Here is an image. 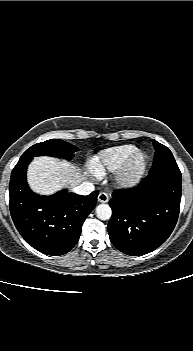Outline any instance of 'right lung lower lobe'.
Masks as SVG:
<instances>
[{
	"label": "right lung lower lobe",
	"instance_id": "obj_1",
	"mask_svg": "<svg viewBox=\"0 0 193 351\" xmlns=\"http://www.w3.org/2000/svg\"><path fill=\"white\" fill-rule=\"evenodd\" d=\"M32 159L20 158L11 174L9 205L13 222L36 250L52 256L66 254L79 240L83 222L95 207L98 191L88 196L67 190L52 196L33 193L26 180Z\"/></svg>",
	"mask_w": 193,
	"mask_h": 351
}]
</instances>
